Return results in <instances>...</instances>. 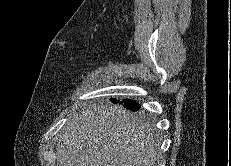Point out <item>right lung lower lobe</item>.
Wrapping results in <instances>:
<instances>
[{"label":"right lung lower lobe","instance_id":"1","mask_svg":"<svg viewBox=\"0 0 231 166\" xmlns=\"http://www.w3.org/2000/svg\"><path fill=\"white\" fill-rule=\"evenodd\" d=\"M113 103H118L119 100L113 98L111 100ZM121 103L124 104V107L131 110V111H138L140 109V106L138 103H136V101L130 100V99H126L123 100Z\"/></svg>","mask_w":231,"mask_h":166}]
</instances>
